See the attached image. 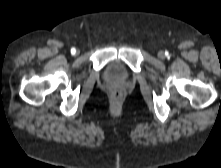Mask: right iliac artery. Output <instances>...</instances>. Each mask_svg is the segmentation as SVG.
Here are the masks:
<instances>
[{"label":"right iliac artery","mask_w":221,"mask_h":168,"mask_svg":"<svg viewBox=\"0 0 221 168\" xmlns=\"http://www.w3.org/2000/svg\"><path fill=\"white\" fill-rule=\"evenodd\" d=\"M76 52L75 48L71 49V53L74 54Z\"/></svg>","instance_id":"right-iliac-artery-1"}]
</instances>
